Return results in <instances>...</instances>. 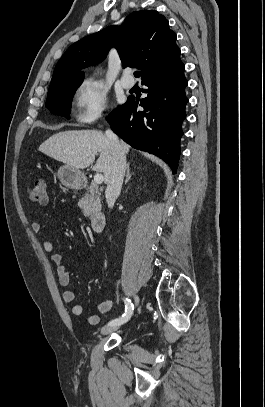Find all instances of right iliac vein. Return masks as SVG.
<instances>
[{"label": "right iliac vein", "instance_id": "63e3f726", "mask_svg": "<svg viewBox=\"0 0 265 407\" xmlns=\"http://www.w3.org/2000/svg\"><path fill=\"white\" fill-rule=\"evenodd\" d=\"M135 301H136V303L138 304V302H139L138 296H135ZM117 329H118V326H117V325H107V326H104V327L101 329V333L104 334V335H106V334L112 333L113 331H115V330H117Z\"/></svg>", "mask_w": 265, "mask_h": 407}]
</instances>
